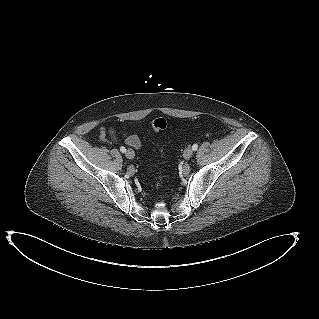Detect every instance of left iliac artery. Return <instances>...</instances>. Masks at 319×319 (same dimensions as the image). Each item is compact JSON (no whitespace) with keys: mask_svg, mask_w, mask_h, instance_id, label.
I'll use <instances>...</instances> for the list:
<instances>
[{"mask_svg":"<svg viewBox=\"0 0 319 319\" xmlns=\"http://www.w3.org/2000/svg\"><path fill=\"white\" fill-rule=\"evenodd\" d=\"M192 149H193L194 151H196V150L198 149V144H194V145L192 146Z\"/></svg>","mask_w":319,"mask_h":319,"instance_id":"obj_1","label":"left iliac artery"}]
</instances>
